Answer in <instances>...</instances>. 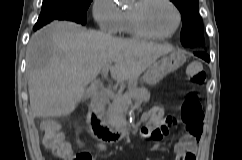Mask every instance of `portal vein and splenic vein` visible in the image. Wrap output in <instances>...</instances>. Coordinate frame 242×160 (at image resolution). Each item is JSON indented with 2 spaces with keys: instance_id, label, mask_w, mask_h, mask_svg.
Returning <instances> with one entry per match:
<instances>
[{
  "instance_id": "obj_1",
  "label": "portal vein and splenic vein",
  "mask_w": 242,
  "mask_h": 160,
  "mask_svg": "<svg viewBox=\"0 0 242 160\" xmlns=\"http://www.w3.org/2000/svg\"><path fill=\"white\" fill-rule=\"evenodd\" d=\"M112 68L113 67H111V65H108V66L104 67L103 70H102L103 76H106L108 74L109 70H111ZM102 93H104V94H106L108 96H111V97H115L116 96L115 93L112 90H110V89H104L103 88L102 89Z\"/></svg>"
}]
</instances>
